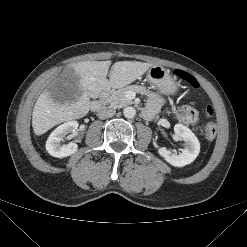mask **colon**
<instances>
[{
    "label": "colon",
    "mask_w": 247,
    "mask_h": 247,
    "mask_svg": "<svg viewBox=\"0 0 247 247\" xmlns=\"http://www.w3.org/2000/svg\"><path fill=\"white\" fill-rule=\"evenodd\" d=\"M176 76L183 79L185 82H187L193 88L199 87V84L196 81V79L185 72L176 71ZM212 114H213L212 108L210 106L206 107L205 115L207 117H211ZM177 116H178L179 120L182 121L183 123L193 124L198 120L199 114H198V111L194 107L183 106L178 111ZM202 133L207 140H213L216 136V133H217L216 126L213 123L209 122L203 127Z\"/></svg>",
    "instance_id": "colon-1"
}]
</instances>
